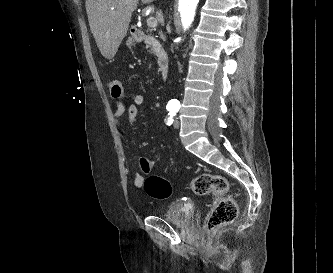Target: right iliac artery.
<instances>
[{
    "label": "right iliac artery",
    "instance_id": "right-iliac-artery-1",
    "mask_svg": "<svg viewBox=\"0 0 333 273\" xmlns=\"http://www.w3.org/2000/svg\"><path fill=\"white\" fill-rule=\"evenodd\" d=\"M166 108H167L168 111H171V109H172L171 107H166Z\"/></svg>",
    "mask_w": 333,
    "mask_h": 273
}]
</instances>
